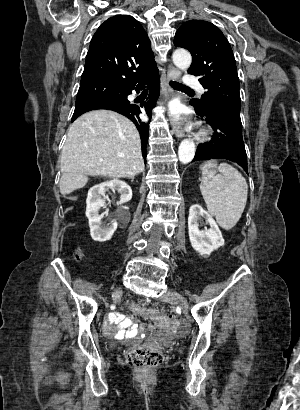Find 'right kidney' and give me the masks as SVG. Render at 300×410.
<instances>
[{
	"label": "right kidney",
	"mask_w": 300,
	"mask_h": 410,
	"mask_svg": "<svg viewBox=\"0 0 300 410\" xmlns=\"http://www.w3.org/2000/svg\"><path fill=\"white\" fill-rule=\"evenodd\" d=\"M109 190L120 195V201L118 202L120 205L129 202L132 198L130 186L118 179L105 181L90 188L86 200V216L89 220L90 234L94 241L105 242L110 240L117 229L116 220L111 221L107 226H103L101 221L103 217L99 215V210L105 207V193Z\"/></svg>",
	"instance_id": "right-kidney-1"
}]
</instances>
